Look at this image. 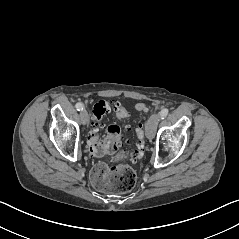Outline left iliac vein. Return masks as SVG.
<instances>
[{
    "mask_svg": "<svg viewBox=\"0 0 239 239\" xmlns=\"http://www.w3.org/2000/svg\"><path fill=\"white\" fill-rule=\"evenodd\" d=\"M160 115L153 114L147 121L146 124V136L148 139L155 137L156 129L159 123Z\"/></svg>",
    "mask_w": 239,
    "mask_h": 239,
    "instance_id": "obj_1",
    "label": "left iliac vein"
}]
</instances>
